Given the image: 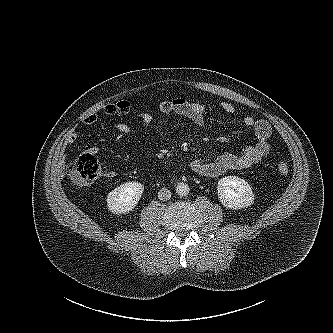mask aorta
Segmentation results:
<instances>
[{"label": "aorta", "mask_w": 333, "mask_h": 333, "mask_svg": "<svg viewBox=\"0 0 333 333\" xmlns=\"http://www.w3.org/2000/svg\"><path fill=\"white\" fill-rule=\"evenodd\" d=\"M189 191H190L189 186L186 183L180 182L176 186V193L179 196H186L188 195Z\"/></svg>", "instance_id": "762f6f07"}]
</instances>
